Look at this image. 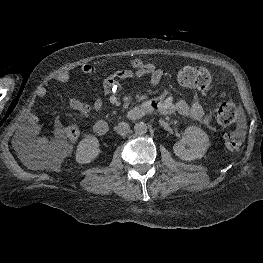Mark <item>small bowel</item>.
<instances>
[{
	"label": "small bowel",
	"instance_id": "c3829d8e",
	"mask_svg": "<svg viewBox=\"0 0 263 263\" xmlns=\"http://www.w3.org/2000/svg\"><path fill=\"white\" fill-rule=\"evenodd\" d=\"M80 71L85 75H92L96 73V67L92 64H83ZM148 76L151 86H156L160 83L164 76V71L153 63H145L141 59H135L131 62L130 68L119 69L108 75L103 81V92L111 94L119 91L123 86V81L131 78H142ZM70 80L68 72L58 73L54 77V81L59 83H67ZM46 89L40 87L37 90L38 97H44ZM70 107L82 114H87L91 111L99 110L103 105V100L100 96L96 97L92 104L85 103L76 97L70 96L68 98ZM150 106L151 111L157 110L163 114L178 113L183 116L201 121L205 126L212 129V117L205 114L200 102H187L185 100H174L169 93H163L158 97L145 102ZM22 134L25 138L32 139L33 142L41 148H53L59 145L63 140V128L60 124L55 125L52 138L45 136H38L37 118L30 115L27 125L23 128Z\"/></svg>",
	"mask_w": 263,
	"mask_h": 263
}]
</instances>
